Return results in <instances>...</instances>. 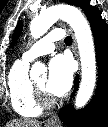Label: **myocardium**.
Masks as SVG:
<instances>
[{"instance_id": "1", "label": "myocardium", "mask_w": 108, "mask_h": 127, "mask_svg": "<svg viewBox=\"0 0 108 127\" xmlns=\"http://www.w3.org/2000/svg\"><path fill=\"white\" fill-rule=\"evenodd\" d=\"M37 102L40 107L48 108L54 104V100L48 96L45 89L39 86L36 82L33 83Z\"/></svg>"}]
</instances>
